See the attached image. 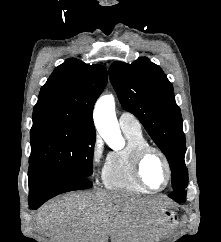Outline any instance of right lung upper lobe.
Returning a JSON list of instances; mask_svg holds the SVG:
<instances>
[{
  "label": "right lung upper lobe",
  "instance_id": "1",
  "mask_svg": "<svg viewBox=\"0 0 221 242\" xmlns=\"http://www.w3.org/2000/svg\"><path fill=\"white\" fill-rule=\"evenodd\" d=\"M103 65L70 58L58 66L41 88L33 110V127L73 124L94 130L93 107L107 84Z\"/></svg>",
  "mask_w": 221,
  "mask_h": 242
}]
</instances>
